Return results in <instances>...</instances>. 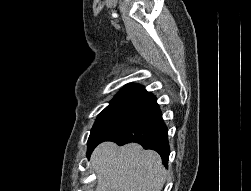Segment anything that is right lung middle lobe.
Instances as JSON below:
<instances>
[{
    "label": "right lung middle lobe",
    "instance_id": "1",
    "mask_svg": "<svg viewBox=\"0 0 251 191\" xmlns=\"http://www.w3.org/2000/svg\"><path fill=\"white\" fill-rule=\"evenodd\" d=\"M143 110L108 106L97 117L88 139L87 157L94 148L103 141H107L114 134L119 132L134 118H136Z\"/></svg>",
    "mask_w": 251,
    "mask_h": 191
}]
</instances>
